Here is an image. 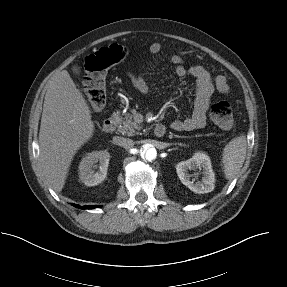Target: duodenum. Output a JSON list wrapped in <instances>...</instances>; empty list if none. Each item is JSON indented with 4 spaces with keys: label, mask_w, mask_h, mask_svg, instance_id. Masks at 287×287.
<instances>
[{
    "label": "duodenum",
    "mask_w": 287,
    "mask_h": 287,
    "mask_svg": "<svg viewBox=\"0 0 287 287\" xmlns=\"http://www.w3.org/2000/svg\"><path fill=\"white\" fill-rule=\"evenodd\" d=\"M103 129L107 133H112L116 129V122L114 118H107L103 123ZM166 132V128L163 124H157L154 128V134L157 137L164 136Z\"/></svg>",
    "instance_id": "obj_1"
}]
</instances>
